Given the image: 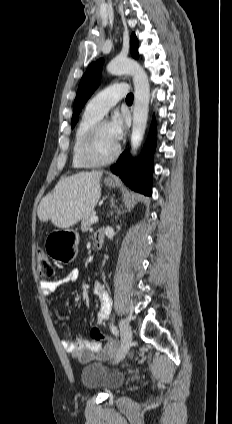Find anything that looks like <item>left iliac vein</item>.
<instances>
[{
	"label": "left iliac vein",
	"instance_id": "4c4485c4",
	"mask_svg": "<svg viewBox=\"0 0 232 424\" xmlns=\"http://www.w3.org/2000/svg\"><path fill=\"white\" fill-rule=\"evenodd\" d=\"M119 327H120V334L122 338V344H121L120 352L116 359L117 362L122 360L125 357V355L127 354L130 348L131 341H132V331L128 321L122 319L119 323Z\"/></svg>",
	"mask_w": 232,
	"mask_h": 424
}]
</instances>
